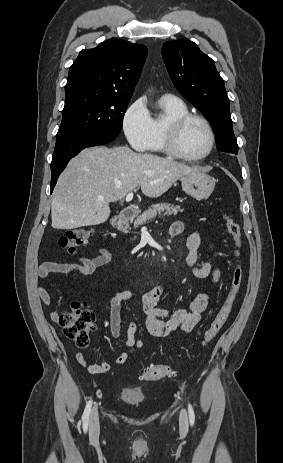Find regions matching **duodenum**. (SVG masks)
Returning <instances> with one entry per match:
<instances>
[{
    "mask_svg": "<svg viewBox=\"0 0 283 463\" xmlns=\"http://www.w3.org/2000/svg\"><path fill=\"white\" fill-rule=\"evenodd\" d=\"M136 215V209L133 206L124 208L112 221L113 228H119L125 222L133 219Z\"/></svg>",
    "mask_w": 283,
    "mask_h": 463,
    "instance_id": "duodenum-1",
    "label": "duodenum"
}]
</instances>
